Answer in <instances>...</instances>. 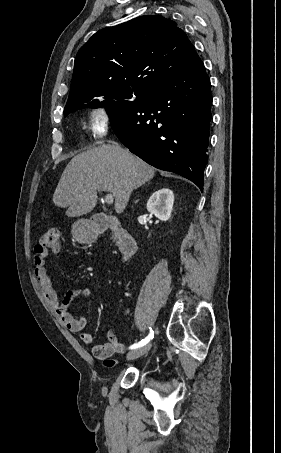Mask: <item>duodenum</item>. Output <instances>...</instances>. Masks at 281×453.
Masks as SVG:
<instances>
[{
    "label": "duodenum",
    "mask_w": 281,
    "mask_h": 453,
    "mask_svg": "<svg viewBox=\"0 0 281 453\" xmlns=\"http://www.w3.org/2000/svg\"><path fill=\"white\" fill-rule=\"evenodd\" d=\"M91 230L94 236H98L99 234L110 230L113 233L121 254L125 258L131 257L137 250V243L134 237L127 230H125L116 219L110 217L94 218Z\"/></svg>",
    "instance_id": "duodenum-1"
}]
</instances>
